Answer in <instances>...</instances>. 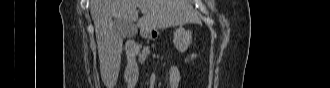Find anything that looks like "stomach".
<instances>
[{"label":"stomach","mask_w":330,"mask_h":88,"mask_svg":"<svg viewBox=\"0 0 330 88\" xmlns=\"http://www.w3.org/2000/svg\"><path fill=\"white\" fill-rule=\"evenodd\" d=\"M146 37L148 38H152V31L146 34ZM192 41V33L191 31L183 28V27H179L176 29V31L174 32V39L173 42L176 46V48L180 51V52H185L190 43Z\"/></svg>","instance_id":"0dacf381"}]
</instances>
